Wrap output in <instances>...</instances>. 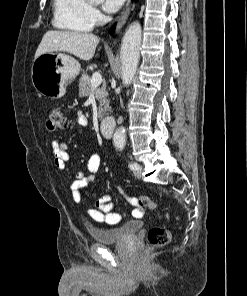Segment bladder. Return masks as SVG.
Instances as JSON below:
<instances>
[{
  "mask_svg": "<svg viewBox=\"0 0 247 296\" xmlns=\"http://www.w3.org/2000/svg\"><path fill=\"white\" fill-rule=\"evenodd\" d=\"M144 227L140 220H130L121 226L115 227H94L89 226L88 231L92 239L97 243H113L123 241L135 235Z\"/></svg>",
  "mask_w": 247,
  "mask_h": 296,
  "instance_id": "31cf9c89",
  "label": "bladder"
}]
</instances>
